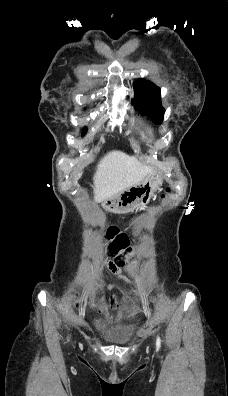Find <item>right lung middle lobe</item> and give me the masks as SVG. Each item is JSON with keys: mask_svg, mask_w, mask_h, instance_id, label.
<instances>
[{"mask_svg": "<svg viewBox=\"0 0 228 396\" xmlns=\"http://www.w3.org/2000/svg\"><path fill=\"white\" fill-rule=\"evenodd\" d=\"M87 132V129H83L82 135H84Z\"/></svg>", "mask_w": 228, "mask_h": 396, "instance_id": "1", "label": "right lung middle lobe"}]
</instances>
